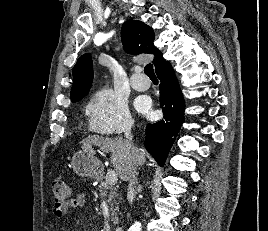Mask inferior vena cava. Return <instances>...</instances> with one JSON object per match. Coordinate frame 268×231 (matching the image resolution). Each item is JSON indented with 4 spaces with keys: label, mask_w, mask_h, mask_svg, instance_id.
<instances>
[{
    "label": "inferior vena cava",
    "mask_w": 268,
    "mask_h": 231,
    "mask_svg": "<svg viewBox=\"0 0 268 231\" xmlns=\"http://www.w3.org/2000/svg\"><path fill=\"white\" fill-rule=\"evenodd\" d=\"M125 136H126L127 146L131 150L132 162H133V166L130 169V171L128 173V177H127V180L129 181L128 193H130L133 196H135V185L138 183V179H137V175H138L137 167H138V164L140 162V152H139L138 148H136L133 145L131 132L130 131H126Z\"/></svg>",
    "instance_id": "inferior-vena-cava-1"
}]
</instances>
